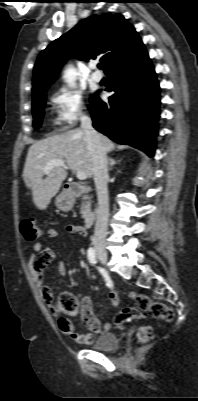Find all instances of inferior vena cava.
<instances>
[{
  "label": "inferior vena cava",
  "instance_id": "inferior-vena-cava-1",
  "mask_svg": "<svg viewBox=\"0 0 198 401\" xmlns=\"http://www.w3.org/2000/svg\"><path fill=\"white\" fill-rule=\"evenodd\" d=\"M81 128L89 139V146L92 154L94 183L98 198L97 220L95 224L93 244L104 245L109 217V195L107 188L108 160L100 136L92 127L90 117L85 114L81 116Z\"/></svg>",
  "mask_w": 198,
  "mask_h": 401
}]
</instances>
